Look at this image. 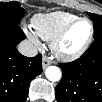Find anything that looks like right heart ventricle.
Returning <instances> with one entry per match:
<instances>
[{
  "label": "right heart ventricle",
  "mask_w": 102,
  "mask_h": 102,
  "mask_svg": "<svg viewBox=\"0 0 102 102\" xmlns=\"http://www.w3.org/2000/svg\"><path fill=\"white\" fill-rule=\"evenodd\" d=\"M78 17L67 12L39 13L32 18V27L36 35L46 41H52L65 27Z\"/></svg>",
  "instance_id": "right-heart-ventricle-1"
}]
</instances>
